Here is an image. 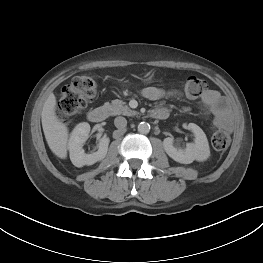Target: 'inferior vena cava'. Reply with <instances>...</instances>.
<instances>
[{"instance_id": "inferior-vena-cava-1", "label": "inferior vena cava", "mask_w": 263, "mask_h": 263, "mask_svg": "<svg viewBox=\"0 0 263 263\" xmlns=\"http://www.w3.org/2000/svg\"><path fill=\"white\" fill-rule=\"evenodd\" d=\"M114 125L118 128V129H124L127 125V120L122 117V116H118L114 119Z\"/></svg>"}]
</instances>
